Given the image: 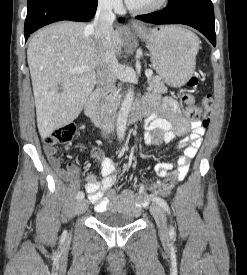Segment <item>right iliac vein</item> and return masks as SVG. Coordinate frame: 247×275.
<instances>
[{
	"instance_id": "right-iliac-vein-1",
	"label": "right iliac vein",
	"mask_w": 247,
	"mask_h": 275,
	"mask_svg": "<svg viewBox=\"0 0 247 275\" xmlns=\"http://www.w3.org/2000/svg\"><path fill=\"white\" fill-rule=\"evenodd\" d=\"M87 208H88V201L85 199H81L76 204L75 213L79 215L83 213Z\"/></svg>"
}]
</instances>
